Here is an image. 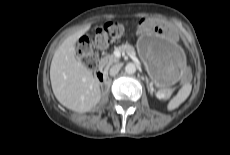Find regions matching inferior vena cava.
<instances>
[{
    "label": "inferior vena cava",
    "instance_id": "obj_1",
    "mask_svg": "<svg viewBox=\"0 0 230 155\" xmlns=\"http://www.w3.org/2000/svg\"><path fill=\"white\" fill-rule=\"evenodd\" d=\"M120 68H121V65H119V64L118 65H114L113 67H111V69L109 71V74L111 76H115L119 72Z\"/></svg>",
    "mask_w": 230,
    "mask_h": 155
}]
</instances>
